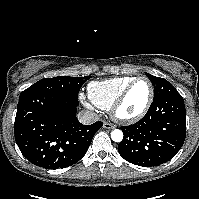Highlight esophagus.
I'll list each match as a JSON object with an SVG mask.
<instances>
[{
    "instance_id": "obj_1",
    "label": "esophagus",
    "mask_w": 199,
    "mask_h": 199,
    "mask_svg": "<svg viewBox=\"0 0 199 199\" xmlns=\"http://www.w3.org/2000/svg\"><path fill=\"white\" fill-rule=\"evenodd\" d=\"M103 127L106 129H114L116 126L112 123L104 122Z\"/></svg>"
}]
</instances>
